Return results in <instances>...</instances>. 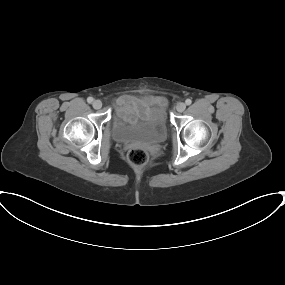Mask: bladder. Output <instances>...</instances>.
<instances>
[{"label": "bladder", "mask_w": 285, "mask_h": 285, "mask_svg": "<svg viewBox=\"0 0 285 285\" xmlns=\"http://www.w3.org/2000/svg\"><path fill=\"white\" fill-rule=\"evenodd\" d=\"M166 135V110L164 106L158 105L153 110L150 119L136 122H131L126 111L122 108L116 110L113 137L117 142L160 143L166 139Z\"/></svg>", "instance_id": "1"}]
</instances>
